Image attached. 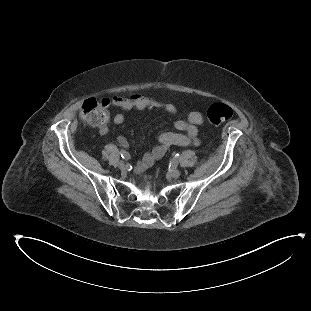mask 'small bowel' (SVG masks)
Masks as SVG:
<instances>
[{"instance_id": "small-bowel-1", "label": "small bowel", "mask_w": 311, "mask_h": 311, "mask_svg": "<svg viewBox=\"0 0 311 311\" xmlns=\"http://www.w3.org/2000/svg\"><path fill=\"white\" fill-rule=\"evenodd\" d=\"M110 107H118L124 111H140L146 109H163L166 113L174 115L176 108L173 104L159 101L143 94H133L127 97L114 96L108 98ZM125 114H116L112 121L115 125L124 122ZM204 124L201 113L189 112L184 118L175 121L174 126L179 132H163L158 136L159 144L151 151L146 152L137 163V171L142 172L151 167L154 162L161 159L172 146H197L200 144L199 128ZM101 135L108 133V127L103 122L98 126ZM118 141L122 146L127 145L125 137L119 136Z\"/></svg>"}]
</instances>
